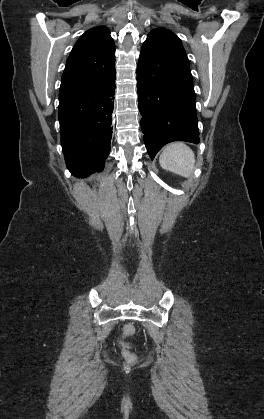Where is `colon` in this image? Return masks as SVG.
Segmentation results:
<instances>
[{"instance_id": "1", "label": "colon", "mask_w": 264, "mask_h": 419, "mask_svg": "<svg viewBox=\"0 0 264 419\" xmlns=\"http://www.w3.org/2000/svg\"><path fill=\"white\" fill-rule=\"evenodd\" d=\"M134 332L135 328L132 324H127L124 327V336H131L132 334H134ZM120 344L123 348V357L126 360V362L129 364H134L137 360L136 355L130 350L129 345L124 340H121Z\"/></svg>"}]
</instances>
